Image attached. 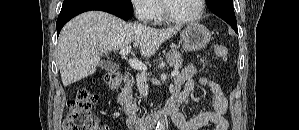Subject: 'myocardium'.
<instances>
[{
  "instance_id": "obj_1",
  "label": "myocardium",
  "mask_w": 299,
  "mask_h": 130,
  "mask_svg": "<svg viewBox=\"0 0 299 130\" xmlns=\"http://www.w3.org/2000/svg\"><path fill=\"white\" fill-rule=\"evenodd\" d=\"M171 0H163L162 1V11L164 18L172 23L176 24H191L197 22L203 15L205 11V1L204 0H197L198 2V10L197 12L189 17H176L170 14L168 9V3Z\"/></svg>"
}]
</instances>
